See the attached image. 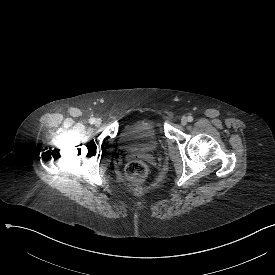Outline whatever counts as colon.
I'll return each instance as SVG.
<instances>
[{
	"label": "colon",
	"instance_id": "1",
	"mask_svg": "<svg viewBox=\"0 0 275 275\" xmlns=\"http://www.w3.org/2000/svg\"><path fill=\"white\" fill-rule=\"evenodd\" d=\"M127 175L132 179H140L147 173V166L143 161H131L126 167Z\"/></svg>",
	"mask_w": 275,
	"mask_h": 275
}]
</instances>
